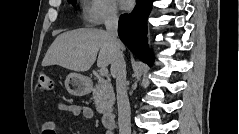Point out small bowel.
I'll use <instances>...</instances> for the list:
<instances>
[{
	"instance_id": "1",
	"label": "small bowel",
	"mask_w": 239,
	"mask_h": 134,
	"mask_svg": "<svg viewBox=\"0 0 239 134\" xmlns=\"http://www.w3.org/2000/svg\"><path fill=\"white\" fill-rule=\"evenodd\" d=\"M59 112L67 113L73 116H82L85 119L93 117V110L86 105L77 103L60 102L57 105ZM56 122L54 120L48 121L43 126V134H56Z\"/></svg>"
}]
</instances>
